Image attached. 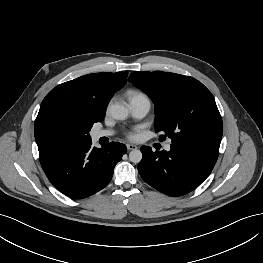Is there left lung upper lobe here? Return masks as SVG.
Returning a JSON list of instances; mask_svg holds the SVG:
<instances>
[{
    "label": "left lung upper lobe",
    "instance_id": "obj_1",
    "mask_svg": "<svg viewBox=\"0 0 263 263\" xmlns=\"http://www.w3.org/2000/svg\"><path fill=\"white\" fill-rule=\"evenodd\" d=\"M128 80L153 100L155 130L169 136L172 144H220L222 119L213 95L201 82L161 71H135Z\"/></svg>",
    "mask_w": 263,
    "mask_h": 263
}]
</instances>
